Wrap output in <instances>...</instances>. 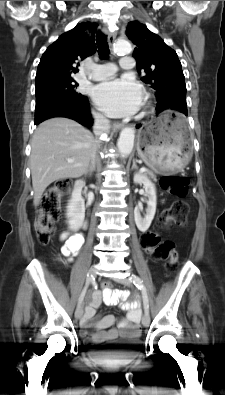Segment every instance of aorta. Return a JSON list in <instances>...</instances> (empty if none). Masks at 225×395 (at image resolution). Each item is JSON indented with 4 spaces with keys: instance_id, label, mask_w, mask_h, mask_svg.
Returning a JSON list of instances; mask_svg holds the SVG:
<instances>
[{
    "instance_id": "1",
    "label": "aorta",
    "mask_w": 225,
    "mask_h": 395,
    "mask_svg": "<svg viewBox=\"0 0 225 395\" xmlns=\"http://www.w3.org/2000/svg\"><path fill=\"white\" fill-rule=\"evenodd\" d=\"M114 52L119 54H129L132 52V46L127 40H118L114 45ZM135 131L133 128L126 127L120 132L117 147L121 157H127L134 146Z\"/></svg>"
}]
</instances>
